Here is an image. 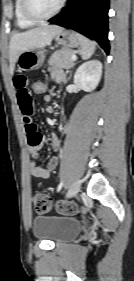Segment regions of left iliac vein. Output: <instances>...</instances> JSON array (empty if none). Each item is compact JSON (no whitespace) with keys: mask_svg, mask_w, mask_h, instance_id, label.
Returning a JSON list of instances; mask_svg holds the SVG:
<instances>
[{"mask_svg":"<svg viewBox=\"0 0 134 281\" xmlns=\"http://www.w3.org/2000/svg\"><path fill=\"white\" fill-rule=\"evenodd\" d=\"M80 188H81V182L80 180H76L68 192V198H72L76 196L77 193L80 191Z\"/></svg>","mask_w":134,"mask_h":281,"instance_id":"1","label":"left iliac vein"}]
</instances>
